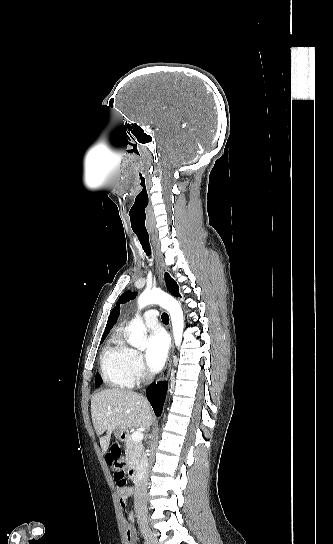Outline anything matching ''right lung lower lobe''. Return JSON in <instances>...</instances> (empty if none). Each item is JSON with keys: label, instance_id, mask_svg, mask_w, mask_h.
Masks as SVG:
<instances>
[{"label": "right lung lower lobe", "instance_id": "right-lung-lower-lobe-1", "mask_svg": "<svg viewBox=\"0 0 333 544\" xmlns=\"http://www.w3.org/2000/svg\"><path fill=\"white\" fill-rule=\"evenodd\" d=\"M166 391V382H158L157 385L153 383L146 391L147 398L151 403L156 416H159L162 412Z\"/></svg>", "mask_w": 333, "mask_h": 544}]
</instances>
